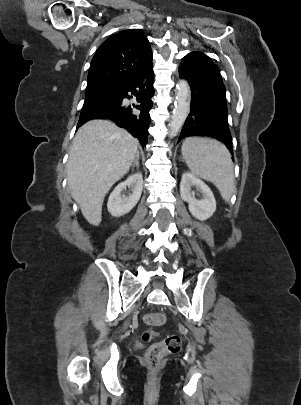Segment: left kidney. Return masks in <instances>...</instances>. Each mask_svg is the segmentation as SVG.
Masks as SVG:
<instances>
[{
	"mask_svg": "<svg viewBox=\"0 0 301 405\" xmlns=\"http://www.w3.org/2000/svg\"><path fill=\"white\" fill-rule=\"evenodd\" d=\"M195 188L197 192L202 194V198L194 197ZM181 199L188 203V208L192 216L198 220H206L210 218L216 210V200L211 189L200 179L190 173H184L180 183Z\"/></svg>",
	"mask_w": 301,
	"mask_h": 405,
	"instance_id": "left-kidney-1",
	"label": "left kidney"
}]
</instances>
